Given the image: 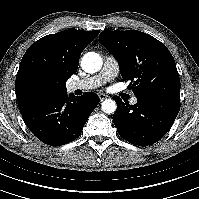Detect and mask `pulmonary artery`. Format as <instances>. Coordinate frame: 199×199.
Returning <instances> with one entry per match:
<instances>
[{
    "instance_id": "pulmonary-artery-1",
    "label": "pulmonary artery",
    "mask_w": 199,
    "mask_h": 199,
    "mask_svg": "<svg viewBox=\"0 0 199 199\" xmlns=\"http://www.w3.org/2000/svg\"><path fill=\"white\" fill-rule=\"evenodd\" d=\"M119 73V65L117 60L111 55H105L103 57L102 69L95 75L74 80L68 85V91L74 92L76 90L89 91L96 89L97 87L105 84L106 82L114 79ZM131 103L136 104L137 98L132 97Z\"/></svg>"
}]
</instances>
